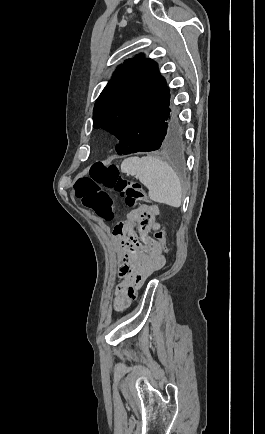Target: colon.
I'll list each match as a JSON object with an SVG mask.
<instances>
[{"label": "colon", "instance_id": "1", "mask_svg": "<svg viewBox=\"0 0 265 434\" xmlns=\"http://www.w3.org/2000/svg\"><path fill=\"white\" fill-rule=\"evenodd\" d=\"M89 171L80 174L77 185L79 193L76 195V200L81 202L85 208L106 220H112L114 213L112 211V201L107 191L102 188L112 190L118 194L127 207H134L146 199L142 186L122 177L116 165L93 164ZM154 239L160 242L158 247L161 248V253L158 255H164L166 247L164 231L156 230Z\"/></svg>", "mask_w": 265, "mask_h": 434}]
</instances>
